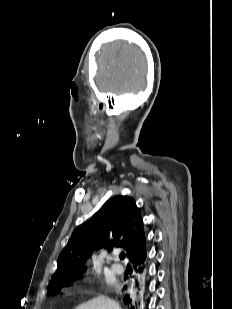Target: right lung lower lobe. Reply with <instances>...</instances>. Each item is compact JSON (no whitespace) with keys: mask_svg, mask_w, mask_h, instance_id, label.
<instances>
[{"mask_svg":"<svg viewBox=\"0 0 232 309\" xmlns=\"http://www.w3.org/2000/svg\"><path fill=\"white\" fill-rule=\"evenodd\" d=\"M145 258H146V253L140 259H138L136 262L133 263V267H134L136 273L140 276V277L137 276V278L135 280V287L138 289V291L141 290V288H140L141 279H142L141 276H142L144 268H145V264H144ZM126 289H127V286L125 285L123 290H126ZM137 294H139V293L137 292ZM123 300L126 304H128L130 306V309L142 308L140 301L133 299L130 296V294H128V293L124 294Z\"/></svg>","mask_w":232,"mask_h":309,"instance_id":"98d812e1","label":"right lung lower lobe"}]
</instances>
